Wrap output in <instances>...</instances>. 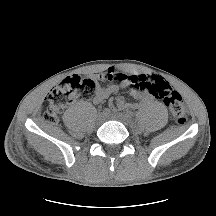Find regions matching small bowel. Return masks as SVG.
<instances>
[{
    "instance_id": "c3829d8e",
    "label": "small bowel",
    "mask_w": 216,
    "mask_h": 216,
    "mask_svg": "<svg viewBox=\"0 0 216 216\" xmlns=\"http://www.w3.org/2000/svg\"><path fill=\"white\" fill-rule=\"evenodd\" d=\"M102 82L112 83L109 86H100L97 94L94 97L96 104H101L107 100L111 94L116 93L123 88H129L132 90V95L139 100L140 103H148L155 96L150 90L144 86L149 82L162 81L163 79L156 75H134L126 74L124 72H118L114 69H108L97 76ZM110 105L117 110L125 109L128 107H137L139 104L126 103L122 97H117L111 100Z\"/></svg>"
}]
</instances>
